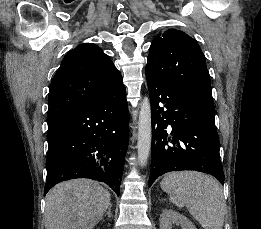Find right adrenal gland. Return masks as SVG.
Instances as JSON below:
<instances>
[{
  "label": "right adrenal gland",
  "instance_id": "2a0ac1e0",
  "mask_svg": "<svg viewBox=\"0 0 261 229\" xmlns=\"http://www.w3.org/2000/svg\"><path fill=\"white\" fill-rule=\"evenodd\" d=\"M111 211H112V205H109V207H108V213H106V215H108L109 219H111V217H112ZM106 215H104V217H106Z\"/></svg>",
  "mask_w": 261,
  "mask_h": 229
}]
</instances>
